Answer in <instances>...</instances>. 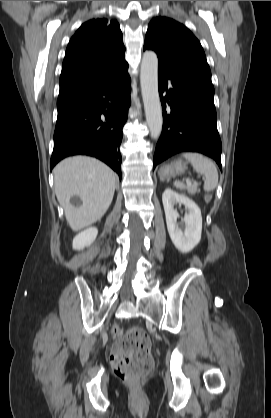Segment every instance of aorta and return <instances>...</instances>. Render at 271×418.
Instances as JSON below:
<instances>
[{
	"label": "aorta",
	"mask_w": 271,
	"mask_h": 418,
	"mask_svg": "<svg viewBox=\"0 0 271 418\" xmlns=\"http://www.w3.org/2000/svg\"><path fill=\"white\" fill-rule=\"evenodd\" d=\"M141 92L146 121L153 139L162 132V107L158 92V57L154 51H145L140 70Z\"/></svg>",
	"instance_id": "aorta-1"
}]
</instances>
